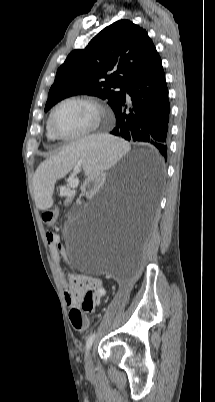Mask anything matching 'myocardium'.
Masks as SVG:
<instances>
[{
  "instance_id": "obj_1",
  "label": "myocardium",
  "mask_w": 215,
  "mask_h": 402,
  "mask_svg": "<svg viewBox=\"0 0 215 402\" xmlns=\"http://www.w3.org/2000/svg\"><path fill=\"white\" fill-rule=\"evenodd\" d=\"M69 102H80L90 105L95 112V119L93 124L83 132L74 135H62L56 131L53 125V119L56 111L64 104ZM107 116V110L104 105L94 97L90 96H69L62 100H60L51 110L49 118H48V127L52 135L56 139L64 140V141H74L87 138L94 133H96L101 125L105 117Z\"/></svg>"
}]
</instances>
